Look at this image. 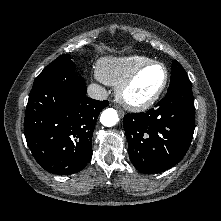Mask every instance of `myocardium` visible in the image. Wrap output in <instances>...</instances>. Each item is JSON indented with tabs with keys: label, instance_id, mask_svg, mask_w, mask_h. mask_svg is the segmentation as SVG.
<instances>
[{
	"label": "myocardium",
	"instance_id": "myocardium-1",
	"mask_svg": "<svg viewBox=\"0 0 221 221\" xmlns=\"http://www.w3.org/2000/svg\"><path fill=\"white\" fill-rule=\"evenodd\" d=\"M152 66H160L164 71V77L161 85L159 88L150 96L144 99H135L134 97L130 96L129 92L131 88L134 86L135 82L138 80L140 75L148 68ZM169 80V73L166 66L158 61H150L137 69H135L130 76L124 80L117 89V98L118 101L126 108L133 110V111H142L150 108L153 106L161 97L163 92L165 91Z\"/></svg>",
	"mask_w": 221,
	"mask_h": 221
}]
</instances>
